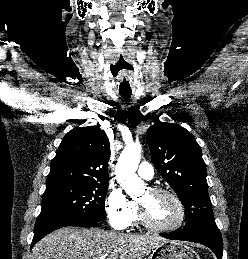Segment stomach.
<instances>
[{"mask_svg":"<svg viewBox=\"0 0 248 259\" xmlns=\"http://www.w3.org/2000/svg\"><path fill=\"white\" fill-rule=\"evenodd\" d=\"M150 259H200L198 253L181 242H165L153 249Z\"/></svg>","mask_w":248,"mask_h":259,"instance_id":"0dacf381","label":"stomach"}]
</instances>
